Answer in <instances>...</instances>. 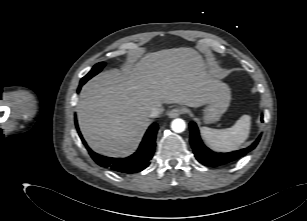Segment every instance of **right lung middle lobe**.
I'll use <instances>...</instances> for the list:
<instances>
[{"label":"right lung middle lobe","instance_id":"1","mask_svg":"<svg viewBox=\"0 0 307 221\" xmlns=\"http://www.w3.org/2000/svg\"><path fill=\"white\" fill-rule=\"evenodd\" d=\"M105 66L104 62L98 63L96 64L92 70L85 76L82 78V83H85L86 81H88L90 78H92L93 76H95L96 74H98L102 68Z\"/></svg>","mask_w":307,"mask_h":221}]
</instances>
